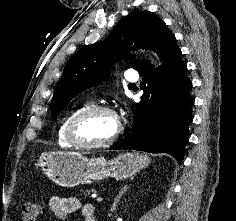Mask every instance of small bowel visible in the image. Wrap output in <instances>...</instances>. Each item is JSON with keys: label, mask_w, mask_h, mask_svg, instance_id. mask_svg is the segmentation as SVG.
I'll list each match as a JSON object with an SVG mask.
<instances>
[{"label": "small bowel", "mask_w": 236, "mask_h": 221, "mask_svg": "<svg viewBox=\"0 0 236 221\" xmlns=\"http://www.w3.org/2000/svg\"><path fill=\"white\" fill-rule=\"evenodd\" d=\"M80 208H82V212L87 220L94 215V206L91 204L82 205L76 197L53 196L49 200V209L52 215L60 221H66L70 214Z\"/></svg>", "instance_id": "obj_1"}]
</instances>
